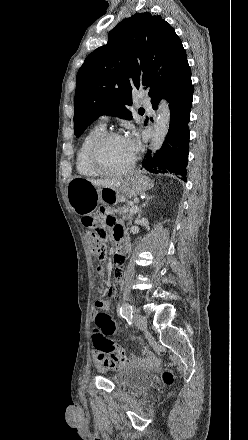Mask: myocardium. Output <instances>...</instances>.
Masks as SVG:
<instances>
[{
  "label": "myocardium",
  "instance_id": "myocardium-1",
  "mask_svg": "<svg viewBox=\"0 0 248 440\" xmlns=\"http://www.w3.org/2000/svg\"><path fill=\"white\" fill-rule=\"evenodd\" d=\"M115 137H124V136L122 133H120L118 131H105L94 141V143L92 144V146L89 150V155H88L89 163H90L91 167L93 168V170L98 175L108 176V177L123 176V175L130 173L136 165V161H137L136 154L133 155V158L127 167H125L124 169L118 170V171L107 170L101 165V163H100L101 150H102L103 146L105 145V143L109 139L115 138Z\"/></svg>",
  "mask_w": 248,
  "mask_h": 440
}]
</instances>
